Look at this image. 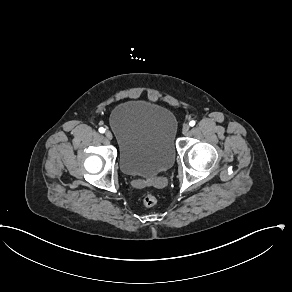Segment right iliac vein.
I'll return each mask as SVG.
<instances>
[{"label": "right iliac vein", "mask_w": 292, "mask_h": 292, "mask_svg": "<svg viewBox=\"0 0 292 292\" xmlns=\"http://www.w3.org/2000/svg\"><path fill=\"white\" fill-rule=\"evenodd\" d=\"M105 136H106V138H107L108 140H111L112 137H113L112 133H111L109 130H107V131L105 132Z\"/></svg>", "instance_id": "63e3f726"}]
</instances>
